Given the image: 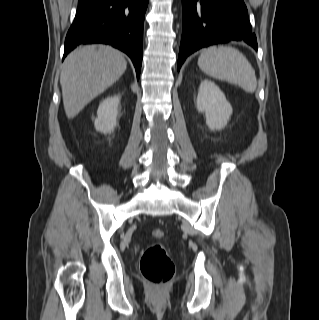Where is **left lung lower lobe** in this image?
<instances>
[{
    "label": "left lung lower lobe",
    "instance_id": "obj_1",
    "mask_svg": "<svg viewBox=\"0 0 319 320\" xmlns=\"http://www.w3.org/2000/svg\"><path fill=\"white\" fill-rule=\"evenodd\" d=\"M178 70L188 55L212 44L243 41L257 50L243 0H182Z\"/></svg>",
    "mask_w": 319,
    "mask_h": 320
}]
</instances>
